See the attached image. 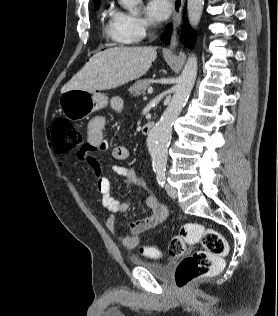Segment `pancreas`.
Wrapping results in <instances>:
<instances>
[{
    "instance_id": "obj_1",
    "label": "pancreas",
    "mask_w": 278,
    "mask_h": 316,
    "mask_svg": "<svg viewBox=\"0 0 278 316\" xmlns=\"http://www.w3.org/2000/svg\"><path fill=\"white\" fill-rule=\"evenodd\" d=\"M151 80L150 79H142L136 81L132 87L129 88V92L134 97L140 96L145 93L146 89L150 87Z\"/></svg>"
}]
</instances>
